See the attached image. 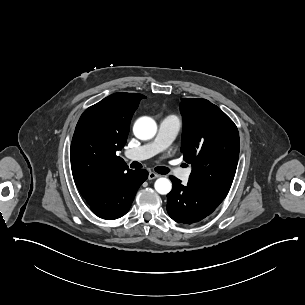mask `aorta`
<instances>
[{
	"label": "aorta",
	"mask_w": 305,
	"mask_h": 305,
	"mask_svg": "<svg viewBox=\"0 0 305 305\" xmlns=\"http://www.w3.org/2000/svg\"><path fill=\"white\" fill-rule=\"evenodd\" d=\"M156 132V122L150 117L139 118L133 126V133L140 140H149L155 136ZM154 188L159 194L166 195L171 191L172 183L167 178H158Z\"/></svg>",
	"instance_id": "762f6f07"
}]
</instances>
